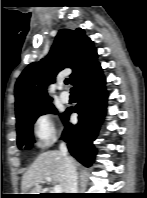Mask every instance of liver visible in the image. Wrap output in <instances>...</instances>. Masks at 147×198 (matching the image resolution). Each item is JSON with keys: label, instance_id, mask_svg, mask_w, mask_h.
Wrapping results in <instances>:
<instances>
[{"label": "liver", "instance_id": "6515ba94", "mask_svg": "<svg viewBox=\"0 0 147 198\" xmlns=\"http://www.w3.org/2000/svg\"><path fill=\"white\" fill-rule=\"evenodd\" d=\"M73 162L75 161L73 160ZM47 177H51L52 183H58L62 187V191H65V160L61 152L58 150L45 151L35 159L22 177V194L42 193L43 189L41 184L44 183Z\"/></svg>", "mask_w": 147, "mask_h": 198}]
</instances>
